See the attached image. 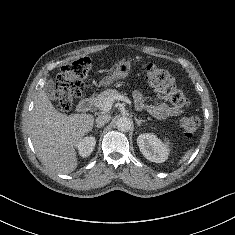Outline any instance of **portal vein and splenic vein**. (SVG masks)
Instances as JSON below:
<instances>
[{
    "label": "portal vein and splenic vein",
    "mask_w": 235,
    "mask_h": 235,
    "mask_svg": "<svg viewBox=\"0 0 235 235\" xmlns=\"http://www.w3.org/2000/svg\"><path fill=\"white\" fill-rule=\"evenodd\" d=\"M115 99L124 101V102L128 103L129 105H131V101L129 98L120 95V96H117L116 98H107L103 102L101 110L104 112H108L112 108V105H113Z\"/></svg>",
    "instance_id": "obj_1"
}]
</instances>
